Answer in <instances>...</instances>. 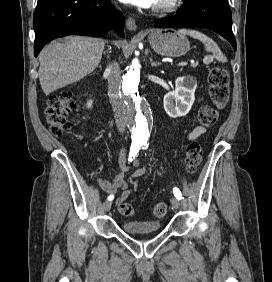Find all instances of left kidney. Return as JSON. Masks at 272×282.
<instances>
[{
    "label": "left kidney",
    "mask_w": 272,
    "mask_h": 282,
    "mask_svg": "<svg viewBox=\"0 0 272 282\" xmlns=\"http://www.w3.org/2000/svg\"><path fill=\"white\" fill-rule=\"evenodd\" d=\"M175 85V90L168 92L163 99L164 110L172 118L185 116L191 110L197 82L190 77H178Z\"/></svg>",
    "instance_id": "1"
}]
</instances>
